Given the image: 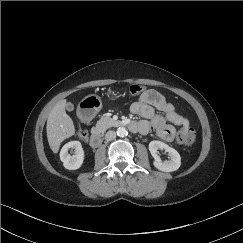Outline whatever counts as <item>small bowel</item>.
I'll use <instances>...</instances> for the list:
<instances>
[{
  "label": "small bowel",
  "instance_id": "small-bowel-1",
  "mask_svg": "<svg viewBox=\"0 0 243 243\" xmlns=\"http://www.w3.org/2000/svg\"><path fill=\"white\" fill-rule=\"evenodd\" d=\"M131 113L142 118L139 122L140 134H147L154 129L158 138L172 142L175 138V127L182 126L185 118L168 102L165 97L154 89L145 90L131 105ZM156 110L161 112L156 114Z\"/></svg>",
  "mask_w": 243,
  "mask_h": 243
}]
</instances>
